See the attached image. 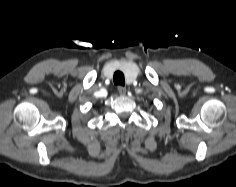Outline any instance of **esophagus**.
Masks as SVG:
<instances>
[{
	"instance_id": "34e87169",
	"label": "esophagus",
	"mask_w": 236,
	"mask_h": 187,
	"mask_svg": "<svg viewBox=\"0 0 236 187\" xmlns=\"http://www.w3.org/2000/svg\"><path fill=\"white\" fill-rule=\"evenodd\" d=\"M118 92H119L120 95L124 96V95H126V88L123 87V86H119L118 87Z\"/></svg>"
}]
</instances>
